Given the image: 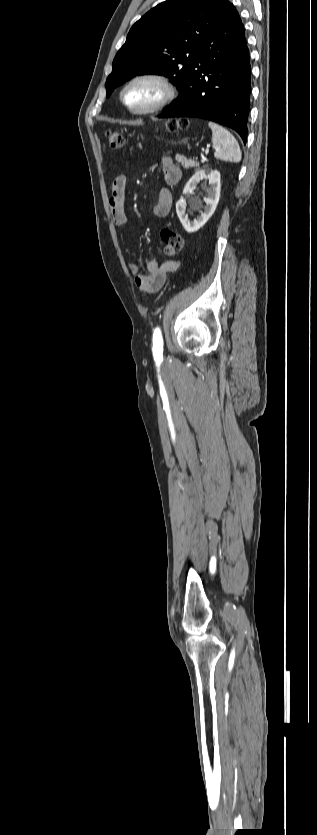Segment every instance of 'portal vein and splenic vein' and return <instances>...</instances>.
Masks as SVG:
<instances>
[{
  "instance_id": "obj_1",
  "label": "portal vein and splenic vein",
  "mask_w": 317,
  "mask_h": 835,
  "mask_svg": "<svg viewBox=\"0 0 317 835\" xmlns=\"http://www.w3.org/2000/svg\"><path fill=\"white\" fill-rule=\"evenodd\" d=\"M205 160H206V158H205V157H202V161H205Z\"/></svg>"
}]
</instances>
